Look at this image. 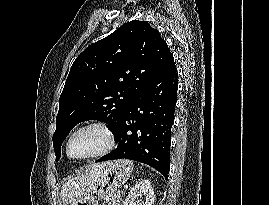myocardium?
Returning a JSON list of instances; mask_svg holds the SVG:
<instances>
[{"label":"myocardium","mask_w":269,"mask_h":205,"mask_svg":"<svg viewBox=\"0 0 269 205\" xmlns=\"http://www.w3.org/2000/svg\"><path fill=\"white\" fill-rule=\"evenodd\" d=\"M87 128L99 129L106 137V146L102 150H100L96 153H93L91 155H88L85 157H75L71 154V141H72L73 137L78 132H80L84 129H87ZM115 145H116V138H115V135H114L112 129L108 125V123H106L103 120L95 119V120H89V121L82 123L81 125H79L78 127H76L72 131V133L69 135L68 140H67L66 153H67L68 157L73 159V160L85 161V160H91V159L105 156L106 154L110 153L114 149Z\"/></svg>","instance_id":"1"}]
</instances>
